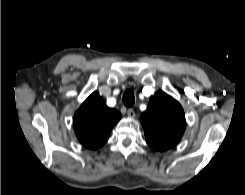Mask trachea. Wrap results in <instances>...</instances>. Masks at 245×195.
Wrapping results in <instances>:
<instances>
[{
	"instance_id": "1",
	"label": "trachea",
	"mask_w": 245,
	"mask_h": 195,
	"mask_svg": "<svg viewBox=\"0 0 245 195\" xmlns=\"http://www.w3.org/2000/svg\"><path fill=\"white\" fill-rule=\"evenodd\" d=\"M135 103V97L132 90L128 89L123 94V104L126 107H132Z\"/></svg>"
}]
</instances>
